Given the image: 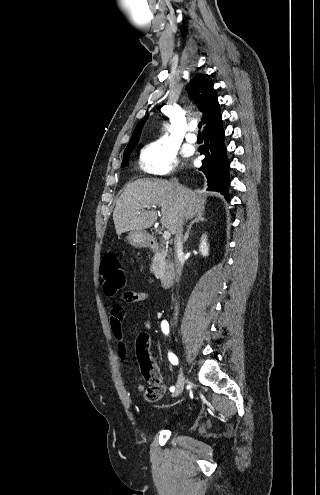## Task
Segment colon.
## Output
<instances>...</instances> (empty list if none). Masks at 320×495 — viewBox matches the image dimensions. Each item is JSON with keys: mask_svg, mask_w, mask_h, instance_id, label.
<instances>
[{"mask_svg": "<svg viewBox=\"0 0 320 495\" xmlns=\"http://www.w3.org/2000/svg\"><path fill=\"white\" fill-rule=\"evenodd\" d=\"M102 277L101 285L105 292L113 295L125 283V275L121 263L115 254H106L100 265ZM136 351L139 362L145 367H151L152 361L149 353V342L147 334H141L136 342ZM150 386L144 392L147 402L158 401L164 394V386L160 375L149 378Z\"/></svg>", "mask_w": 320, "mask_h": 495, "instance_id": "colon-1", "label": "colon"}]
</instances>
